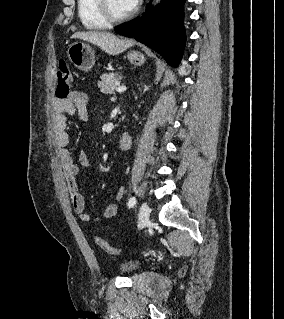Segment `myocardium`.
<instances>
[{"label":"myocardium","mask_w":284,"mask_h":319,"mask_svg":"<svg viewBox=\"0 0 284 319\" xmlns=\"http://www.w3.org/2000/svg\"><path fill=\"white\" fill-rule=\"evenodd\" d=\"M98 5L101 14L103 17L108 21V23H122L128 19H130L133 16V11H130L129 13L122 15V16H116L111 11L109 0H98Z\"/></svg>","instance_id":"1"}]
</instances>
